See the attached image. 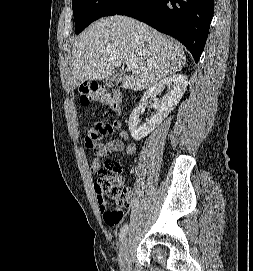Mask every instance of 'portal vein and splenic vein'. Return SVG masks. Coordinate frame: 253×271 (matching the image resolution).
Masks as SVG:
<instances>
[{
	"label": "portal vein and splenic vein",
	"mask_w": 253,
	"mask_h": 271,
	"mask_svg": "<svg viewBox=\"0 0 253 271\" xmlns=\"http://www.w3.org/2000/svg\"><path fill=\"white\" fill-rule=\"evenodd\" d=\"M126 65H127V67L129 68V69H132V68H134L135 67V64L132 62V61H126Z\"/></svg>",
	"instance_id": "18ae733b"
}]
</instances>
